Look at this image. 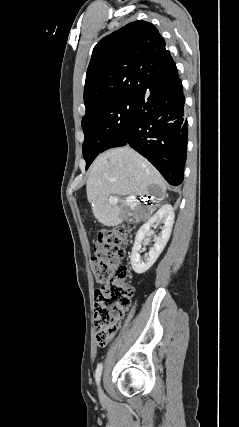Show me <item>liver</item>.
<instances>
[{
	"label": "liver",
	"instance_id": "liver-1",
	"mask_svg": "<svg viewBox=\"0 0 239 427\" xmlns=\"http://www.w3.org/2000/svg\"><path fill=\"white\" fill-rule=\"evenodd\" d=\"M152 185L159 188L157 200H162L167 187L158 170L130 147H119L99 155L91 165L87 199L98 222L117 226L133 214L129 210V206L134 209L133 203L128 205L124 197L148 195ZM110 196L123 198L117 204H110Z\"/></svg>",
	"mask_w": 239,
	"mask_h": 427
}]
</instances>
